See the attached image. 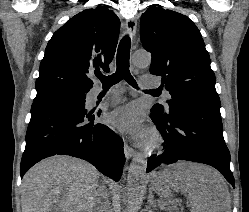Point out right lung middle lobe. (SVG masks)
I'll list each match as a JSON object with an SVG mask.
<instances>
[{"instance_id": "1", "label": "right lung middle lobe", "mask_w": 249, "mask_h": 212, "mask_svg": "<svg viewBox=\"0 0 249 212\" xmlns=\"http://www.w3.org/2000/svg\"><path fill=\"white\" fill-rule=\"evenodd\" d=\"M87 92L79 91H59L51 92L36 96L34 102H77L79 104L85 103Z\"/></svg>"}]
</instances>
